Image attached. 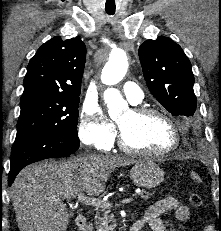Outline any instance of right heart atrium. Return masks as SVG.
<instances>
[{
  "label": "right heart atrium",
  "instance_id": "d8ad5b80",
  "mask_svg": "<svg viewBox=\"0 0 221 231\" xmlns=\"http://www.w3.org/2000/svg\"><path fill=\"white\" fill-rule=\"evenodd\" d=\"M78 135L82 143L95 149L109 148L115 140V126L107 119L101 106L93 101L83 105Z\"/></svg>",
  "mask_w": 221,
  "mask_h": 231
}]
</instances>
